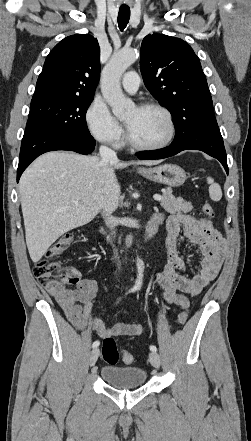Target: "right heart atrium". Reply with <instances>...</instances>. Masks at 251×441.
<instances>
[{
    "instance_id": "d8ad5b80",
    "label": "right heart atrium",
    "mask_w": 251,
    "mask_h": 441,
    "mask_svg": "<svg viewBox=\"0 0 251 441\" xmlns=\"http://www.w3.org/2000/svg\"><path fill=\"white\" fill-rule=\"evenodd\" d=\"M86 123L96 140L112 145L120 143L123 128L101 99L95 98L90 103L86 111Z\"/></svg>"
}]
</instances>
